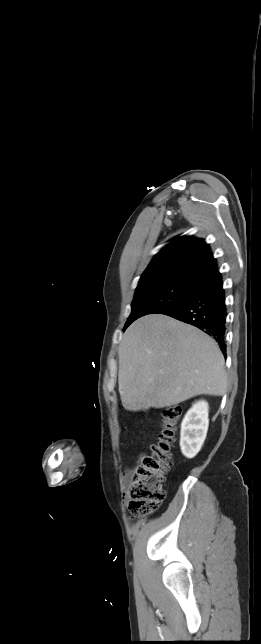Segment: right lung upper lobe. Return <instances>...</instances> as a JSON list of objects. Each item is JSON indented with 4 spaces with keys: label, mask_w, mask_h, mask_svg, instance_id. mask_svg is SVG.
Here are the masks:
<instances>
[{
    "label": "right lung upper lobe",
    "mask_w": 261,
    "mask_h": 644,
    "mask_svg": "<svg viewBox=\"0 0 261 644\" xmlns=\"http://www.w3.org/2000/svg\"><path fill=\"white\" fill-rule=\"evenodd\" d=\"M215 271L216 260L204 240L190 236L180 237L155 255L143 272L138 286L169 278L199 282Z\"/></svg>",
    "instance_id": "cb5924a9"
}]
</instances>
